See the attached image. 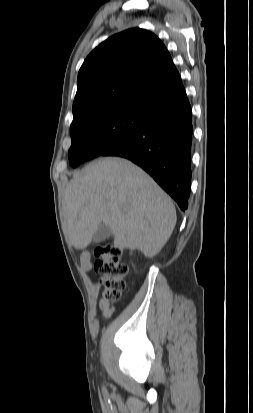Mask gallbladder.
Masks as SVG:
<instances>
[{
	"label": "gallbladder",
	"mask_w": 253,
	"mask_h": 413,
	"mask_svg": "<svg viewBox=\"0 0 253 413\" xmlns=\"http://www.w3.org/2000/svg\"><path fill=\"white\" fill-rule=\"evenodd\" d=\"M112 230L109 225L101 223L94 233L93 240L95 242H102L110 237Z\"/></svg>",
	"instance_id": "obj_1"
}]
</instances>
